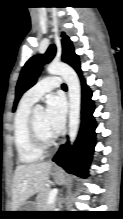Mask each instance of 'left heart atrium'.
I'll use <instances>...</instances> for the list:
<instances>
[{
    "label": "left heart atrium",
    "mask_w": 123,
    "mask_h": 219,
    "mask_svg": "<svg viewBox=\"0 0 123 219\" xmlns=\"http://www.w3.org/2000/svg\"><path fill=\"white\" fill-rule=\"evenodd\" d=\"M46 122L54 135L59 134L65 124L66 106L64 100L56 95L47 99V107L45 110Z\"/></svg>",
    "instance_id": "1"
}]
</instances>
